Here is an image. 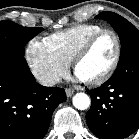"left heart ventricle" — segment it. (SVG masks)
<instances>
[{
    "instance_id": "b2bd125f",
    "label": "left heart ventricle",
    "mask_w": 139,
    "mask_h": 139,
    "mask_svg": "<svg viewBox=\"0 0 139 139\" xmlns=\"http://www.w3.org/2000/svg\"><path fill=\"white\" fill-rule=\"evenodd\" d=\"M115 54V42L111 35L100 37L90 51L79 61L76 71L89 81L100 77L110 66Z\"/></svg>"
}]
</instances>
